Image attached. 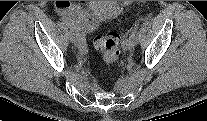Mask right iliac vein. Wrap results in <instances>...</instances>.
Here are the masks:
<instances>
[{"mask_svg":"<svg viewBox=\"0 0 207 121\" xmlns=\"http://www.w3.org/2000/svg\"><path fill=\"white\" fill-rule=\"evenodd\" d=\"M69 37H70V41L74 45H77L79 47L78 37H77L76 33L73 30H70ZM79 50H80L81 53H85L86 52V49H83V48H79Z\"/></svg>","mask_w":207,"mask_h":121,"instance_id":"63e3f726","label":"right iliac vein"}]
</instances>
